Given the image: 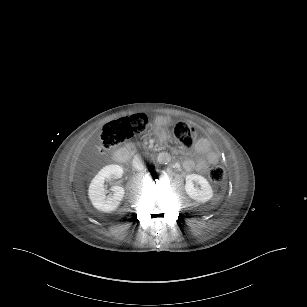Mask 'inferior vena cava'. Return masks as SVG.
Segmentation results:
<instances>
[{"label": "inferior vena cava", "mask_w": 307, "mask_h": 307, "mask_svg": "<svg viewBox=\"0 0 307 307\" xmlns=\"http://www.w3.org/2000/svg\"><path fill=\"white\" fill-rule=\"evenodd\" d=\"M133 166L137 169H144V164L139 155H135L133 158Z\"/></svg>", "instance_id": "1"}]
</instances>
